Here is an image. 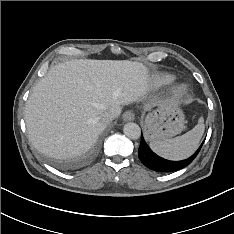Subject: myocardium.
I'll return each mask as SVG.
<instances>
[{"label": "myocardium", "instance_id": "obj_1", "mask_svg": "<svg viewBox=\"0 0 234 234\" xmlns=\"http://www.w3.org/2000/svg\"><path fill=\"white\" fill-rule=\"evenodd\" d=\"M187 91V87L185 85H179L175 88L174 93L176 95H183Z\"/></svg>", "mask_w": 234, "mask_h": 234}]
</instances>
